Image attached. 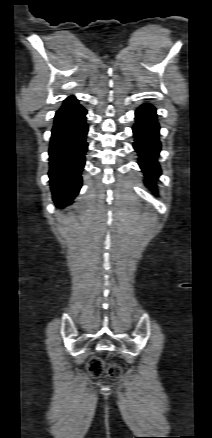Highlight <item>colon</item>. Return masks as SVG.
I'll return each mask as SVG.
<instances>
[{"mask_svg":"<svg viewBox=\"0 0 212 438\" xmlns=\"http://www.w3.org/2000/svg\"><path fill=\"white\" fill-rule=\"evenodd\" d=\"M88 370L92 376L99 377L105 370V364L99 358H92L88 363ZM108 372L111 377L116 378L121 373V368L118 365H110Z\"/></svg>","mask_w":212,"mask_h":438,"instance_id":"5ec220e1","label":"colon"}]
</instances>
